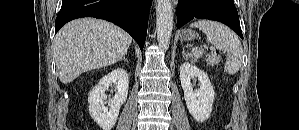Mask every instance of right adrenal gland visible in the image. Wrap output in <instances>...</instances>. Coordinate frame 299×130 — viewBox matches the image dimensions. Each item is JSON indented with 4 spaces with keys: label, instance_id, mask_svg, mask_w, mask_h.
<instances>
[{
    "label": "right adrenal gland",
    "instance_id": "obj_1",
    "mask_svg": "<svg viewBox=\"0 0 299 130\" xmlns=\"http://www.w3.org/2000/svg\"><path fill=\"white\" fill-rule=\"evenodd\" d=\"M121 60L125 61V62H128L127 58H126V54L123 55V57L121 58Z\"/></svg>",
    "mask_w": 299,
    "mask_h": 130
}]
</instances>
